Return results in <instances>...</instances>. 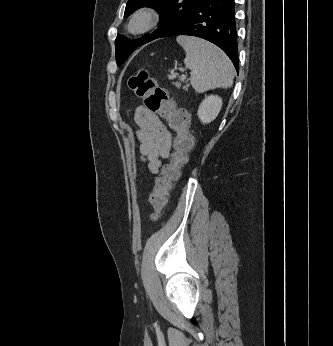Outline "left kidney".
Instances as JSON below:
<instances>
[{
	"label": "left kidney",
	"instance_id": "5707ae66",
	"mask_svg": "<svg viewBox=\"0 0 333 346\" xmlns=\"http://www.w3.org/2000/svg\"><path fill=\"white\" fill-rule=\"evenodd\" d=\"M222 108V99L217 95L205 97L198 108V117L203 124L210 123L219 114Z\"/></svg>",
	"mask_w": 333,
	"mask_h": 346
}]
</instances>
